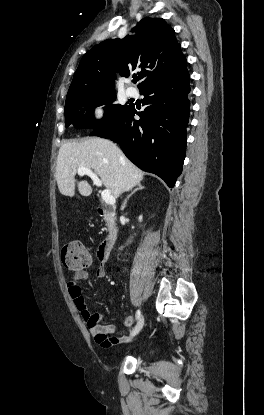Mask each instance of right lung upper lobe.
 <instances>
[{
  "label": "right lung upper lobe",
  "mask_w": 264,
  "mask_h": 415,
  "mask_svg": "<svg viewBox=\"0 0 264 415\" xmlns=\"http://www.w3.org/2000/svg\"><path fill=\"white\" fill-rule=\"evenodd\" d=\"M135 35L108 39L81 59L66 99L84 94L114 91L115 72L128 76L141 68L138 85L146 86L173 79L187 71L186 58L175 38L174 30L163 19L144 18L134 28Z\"/></svg>",
  "instance_id": "cb5924a9"
}]
</instances>
